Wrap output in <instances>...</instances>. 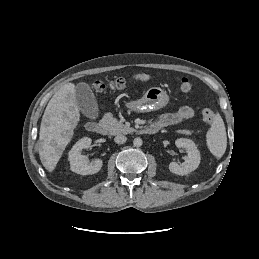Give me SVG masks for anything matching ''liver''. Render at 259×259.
<instances>
[{"instance_id":"obj_1","label":"liver","mask_w":259,"mask_h":259,"mask_svg":"<svg viewBox=\"0 0 259 259\" xmlns=\"http://www.w3.org/2000/svg\"><path fill=\"white\" fill-rule=\"evenodd\" d=\"M133 78L148 81L151 76L142 73L133 75ZM75 88L74 83L63 85L50 99L42 117L38 150L40 160L48 172L54 171L80 121Z\"/></svg>"}]
</instances>
